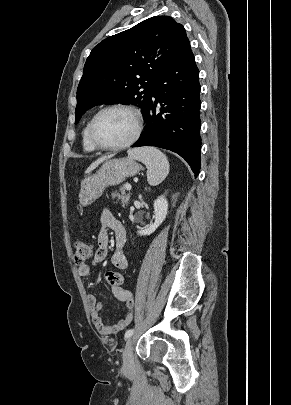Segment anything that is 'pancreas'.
Instances as JSON below:
<instances>
[{
    "instance_id": "obj_1",
    "label": "pancreas",
    "mask_w": 291,
    "mask_h": 405,
    "mask_svg": "<svg viewBox=\"0 0 291 405\" xmlns=\"http://www.w3.org/2000/svg\"><path fill=\"white\" fill-rule=\"evenodd\" d=\"M115 197L118 199L120 204H122V206L125 207L129 202L130 194L129 193L126 194L125 187H122L120 189V193L113 194V198H115Z\"/></svg>"
}]
</instances>
